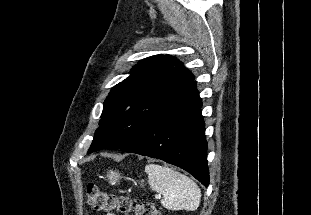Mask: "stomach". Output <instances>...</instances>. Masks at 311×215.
Instances as JSON below:
<instances>
[{"instance_id": "0dacf381", "label": "stomach", "mask_w": 311, "mask_h": 215, "mask_svg": "<svg viewBox=\"0 0 311 215\" xmlns=\"http://www.w3.org/2000/svg\"><path fill=\"white\" fill-rule=\"evenodd\" d=\"M107 177H108L109 183L112 185H115L116 183L120 181L121 174L118 171L110 170L107 173ZM141 185H143V181H141Z\"/></svg>"}]
</instances>
